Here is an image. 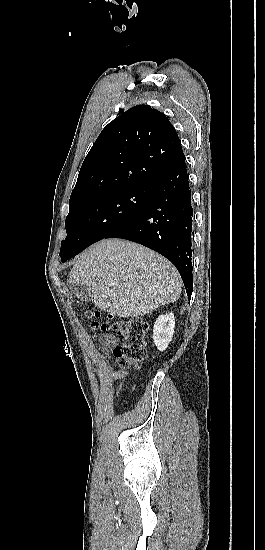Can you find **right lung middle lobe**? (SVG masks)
<instances>
[{"label": "right lung middle lobe", "mask_w": 265, "mask_h": 550, "mask_svg": "<svg viewBox=\"0 0 265 550\" xmlns=\"http://www.w3.org/2000/svg\"><path fill=\"white\" fill-rule=\"evenodd\" d=\"M154 186H136L69 204L62 262L134 220L146 207Z\"/></svg>", "instance_id": "dd1d6c3e"}]
</instances>
